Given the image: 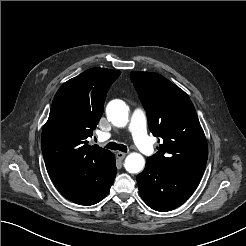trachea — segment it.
Masks as SVG:
<instances>
[{"label":"trachea","instance_id":"3493384b","mask_svg":"<svg viewBox=\"0 0 246 246\" xmlns=\"http://www.w3.org/2000/svg\"><path fill=\"white\" fill-rule=\"evenodd\" d=\"M105 147L111 150H119L122 152H127V147L125 145L117 144L115 142H110Z\"/></svg>","mask_w":246,"mask_h":246}]
</instances>
